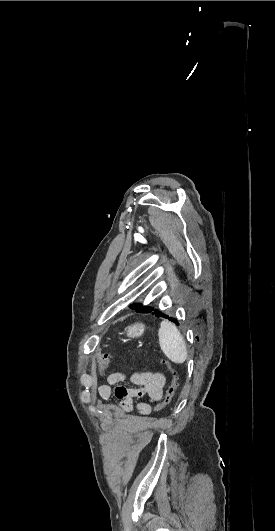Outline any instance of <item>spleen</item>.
I'll use <instances>...</instances> for the list:
<instances>
[{"instance_id": "1", "label": "spleen", "mask_w": 275, "mask_h": 531, "mask_svg": "<svg viewBox=\"0 0 275 531\" xmlns=\"http://www.w3.org/2000/svg\"><path fill=\"white\" fill-rule=\"evenodd\" d=\"M159 345L164 355L172 363H185L187 359V349L185 341L178 331L176 325H173L168 319H163L158 331Z\"/></svg>"}]
</instances>
